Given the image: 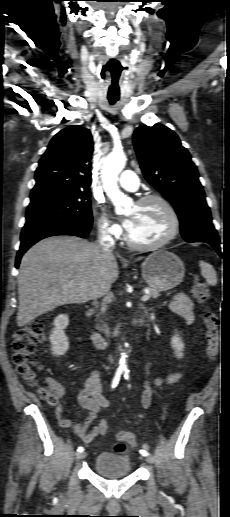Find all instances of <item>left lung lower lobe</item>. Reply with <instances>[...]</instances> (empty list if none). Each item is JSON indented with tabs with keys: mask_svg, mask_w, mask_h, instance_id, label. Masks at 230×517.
<instances>
[{
	"mask_svg": "<svg viewBox=\"0 0 230 517\" xmlns=\"http://www.w3.org/2000/svg\"><path fill=\"white\" fill-rule=\"evenodd\" d=\"M187 242H205V243H208L210 244L214 249H216V251L218 252V254L220 256H222V252H221V249H220V242H219V238H218V235H207V236H202V237H199L197 239H193V240H186Z\"/></svg>",
	"mask_w": 230,
	"mask_h": 517,
	"instance_id": "0a47b994",
	"label": "left lung lower lobe"
}]
</instances>
